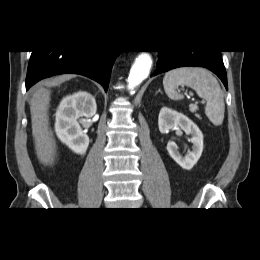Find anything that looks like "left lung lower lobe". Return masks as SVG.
Wrapping results in <instances>:
<instances>
[{
    "label": "left lung lower lobe",
    "instance_id": "left-lung-lower-lobe-1",
    "mask_svg": "<svg viewBox=\"0 0 260 260\" xmlns=\"http://www.w3.org/2000/svg\"><path fill=\"white\" fill-rule=\"evenodd\" d=\"M185 66L204 67L211 70L222 80L224 86L228 89L226 71L219 50L160 53L153 75Z\"/></svg>",
    "mask_w": 260,
    "mask_h": 260
}]
</instances>
